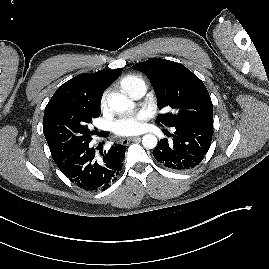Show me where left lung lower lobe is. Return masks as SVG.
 I'll return each instance as SVG.
<instances>
[{
	"label": "left lung lower lobe",
	"mask_w": 269,
	"mask_h": 269,
	"mask_svg": "<svg viewBox=\"0 0 269 269\" xmlns=\"http://www.w3.org/2000/svg\"><path fill=\"white\" fill-rule=\"evenodd\" d=\"M173 141L162 139L153 151L157 161L177 171H185L199 165L209 150L213 123L194 122L175 126Z\"/></svg>",
	"instance_id": "left-lung-lower-lobe-1"
}]
</instances>
